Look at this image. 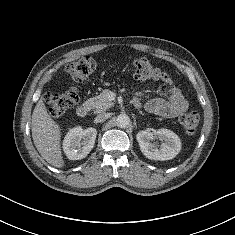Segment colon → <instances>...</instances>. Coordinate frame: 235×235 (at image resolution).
Wrapping results in <instances>:
<instances>
[{
    "label": "colon",
    "mask_w": 235,
    "mask_h": 235,
    "mask_svg": "<svg viewBox=\"0 0 235 235\" xmlns=\"http://www.w3.org/2000/svg\"><path fill=\"white\" fill-rule=\"evenodd\" d=\"M97 64L89 56L80 58L66 66V71L76 82H82L89 77L95 70ZM130 71L135 80L139 81H160L164 84H170L169 76L154 67L146 58H135L131 62ZM79 101V94L76 88H72L62 93H48L45 96V102L48 106L49 114L54 118L64 115L69 109ZM180 124L189 135L196 132L199 125V115L197 112H188L180 117Z\"/></svg>",
    "instance_id": "obj_1"
}]
</instances>
